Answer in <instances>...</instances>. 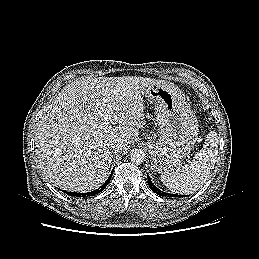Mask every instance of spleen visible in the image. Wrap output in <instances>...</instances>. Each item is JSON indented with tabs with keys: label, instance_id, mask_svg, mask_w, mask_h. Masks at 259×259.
I'll return each instance as SVG.
<instances>
[{
	"label": "spleen",
	"instance_id": "3e777b00",
	"mask_svg": "<svg viewBox=\"0 0 259 259\" xmlns=\"http://www.w3.org/2000/svg\"><path fill=\"white\" fill-rule=\"evenodd\" d=\"M219 138L215 131L207 134L203 148L179 171L161 175V181L172 192L190 194L200 189L210 177L218 155Z\"/></svg>",
	"mask_w": 259,
	"mask_h": 259
}]
</instances>
